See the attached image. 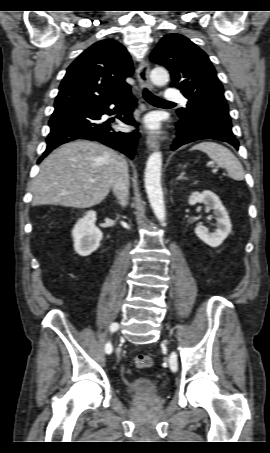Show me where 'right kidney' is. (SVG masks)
<instances>
[{
    "label": "right kidney",
    "mask_w": 270,
    "mask_h": 453,
    "mask_svg": "<svg viewBox=\"0 0 270 453\" xmlns=\"http://www.w3.org/2000/svg\"><path fill=\"white\" fill-rule=\"evenodd\" d=\"M95 222V211H88L83 218L78 220L72 230L74 249L80 256H89L100 246L103 234L95 226Z\"/></svg>",
    "instance_id": "right-kidney-1"
}]
</instances>
